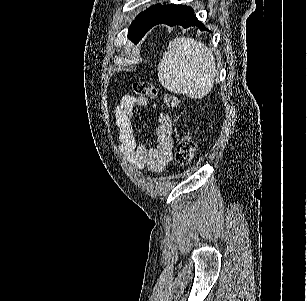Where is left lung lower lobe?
I'll return each mask as SVG.
<instances>
[{"label":"left lung lower lobe","instance_id":"0a47b994","mask_svg":"<svg viewBox=\"0 0 307 301\" xmlns=\"http://www.w3.org/2000/svg\"><path fill=\"white\" fill-rule=\"evenodd\" d=\"M162 23L170 26L182 25L184 28L198 26L201 31L207 30V28L196 18L193 9L185 5H174L155 20L150 28Z\"/></svg>","mask_w":307,"mask_h":301}]
</instances>
